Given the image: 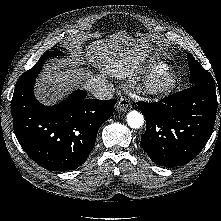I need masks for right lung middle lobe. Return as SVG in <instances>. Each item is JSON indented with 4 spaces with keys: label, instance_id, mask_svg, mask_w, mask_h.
<instances>
[{
    "label": "right lung middle lobe",
    "instance_id": "1",
    "mask_svg": "<svg viewBox=\"0 0 221 221\" xmlns=\"http://www.w3.org/2000/svg\"><path fill=\"white\" fill-rule=\"evenodd\" d=\"M56 55H62V52L59 50L56 51H48L45 54H43L39 60V62L37 64L41 65L45 62L46 59H48L49 57L52 56H56Z\"/></svg>",
    "mask_w": 221,
    "mask_h": 221
}]
</instances>
